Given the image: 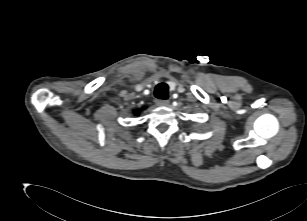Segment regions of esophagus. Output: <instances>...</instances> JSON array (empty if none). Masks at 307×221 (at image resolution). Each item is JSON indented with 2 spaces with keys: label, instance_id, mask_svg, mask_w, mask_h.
Returning <instances> with one entry per match:
<instances>
[{
  "label": "esophagus",
  "instance_id": "1",
  "mask_svg": "<svg viewBox=\"0 0 307 221\" xmlns=\"http://www.w3.org/2000/svg\"><path fill=\"white\" fill-rule=\"evenodd\" d=\"M155 104L157 106H168L169 105V100H161V99H156Z\"/></svg>",
  "mask_w": 307,
  "mask_h": 221
}]
</instances>
